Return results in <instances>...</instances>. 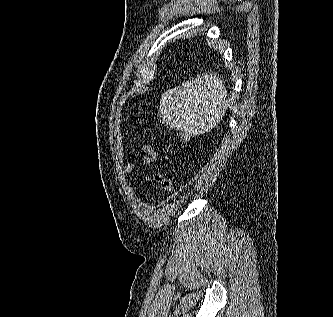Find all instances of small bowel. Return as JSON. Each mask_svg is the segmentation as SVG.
Segmentation results:
<instances>
[{"label":"small bowel","instance_id":"c3829d8e","mask_svg":"<svg viewBox=\"0 0 333 317\" xmlns=\"http://www.w3.org/2000/svg\"><path fill=\"white\" fill-rule=\"evenodd\" d=\"M142 150L144 152V158H143L144 163L151 164L156 158V152L150 145H144L142 147ZM133 167H134L133 164H128L127 171H131ZM145 178L148 180L147 176H145Z\"/></svg>","mask_w":333,"mask_h":317}]
</instances>
